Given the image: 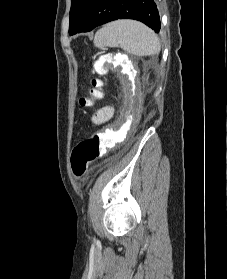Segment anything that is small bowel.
I'll list each match as a JSON object with an SVG mask.
<instances>
[{
  "label": "small bowel",
  "instance_id": "small-bowel-1",
  "mask_svg": "<svg viewBox=\"0 0 227 279\" xmlns=\"http://www.w3.org/2000/svg\"><path fill=\"white\" fill-rule=\"evenodd\" d=\"M113 112H114L113 104L105 106L100 110H98L95 114H93L92 121L95 124H104L111 119Z\"/></svg>",
  "mask_w": 227,
  "mask_h": 279
}]
</instances>
